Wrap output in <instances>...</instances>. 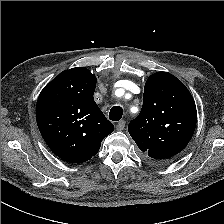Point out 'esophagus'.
Returning <instances> with one entry per match:
<instances>
[{
    "mask_svg": "<svg viewBox=\"0 0 224 224\" xmlns=\"http://www.w3.org/2000/svg\"><path fill=\"white\" fill-rule=\"evenodd\" d=\"M116 129L118 131H122L125 127V121L124 120H121L119 121L116 125H115Z\"/></svg>",
    "mask_w": 224,
    "mask_h": 224,
    "instance_id": "34e87169",
    "label": "esophagus"
}]
</instances>
